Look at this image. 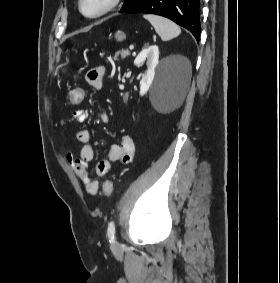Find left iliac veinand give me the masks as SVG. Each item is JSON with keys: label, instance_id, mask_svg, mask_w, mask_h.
<instances>
[{"label": "left iliac vein", "instance_id": "obj_1", "mask_svg": "<svg viewBox=\"0 0 280 283\" xmlns=\"http://www.w3.org/2000/svg\"><path fill=\"white\" fill-rule=\"evenodd\" d=\"M113 246H114V247L117 246V243H113Z\"/></svg>", "mask_w": 280, "mask_h": 283}]
</instances>
